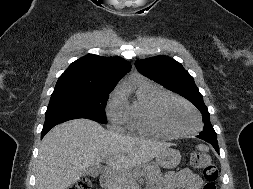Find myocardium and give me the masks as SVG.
I'll return each instance as SVG.
<instances>
[{"label": "myocardium", "mask_w": 253, "mask_h": 189, "mask_svg": "<svg viewBox=\"0 0 253 189\" xmlns=\"http://www.w3.org/2000/svg\"><path fill=\"white\" fill-rule=\"evenodd\" d=\"M167 100L177 101L179 103L184 104L188 108H190L193 111V113L195 114L196 119H197L196 128L189 130V131H184V132H179V131H176V130L170 128L165 123V121L163 120V118L161 116V107H162L163 103ZM149 118H150V123L152 124V126L154 128H156L160 132L166 134L167 136H171V137H185V136L195 134L201 129V126H202V119H201L199 111L187 100H185L177 95L171 94V93H165V94L161 95L160 97H158L154 101V103L152 104L151 109H150Z\"/></svg>", "instance_id": "myocardium-1"}]
</instances>
